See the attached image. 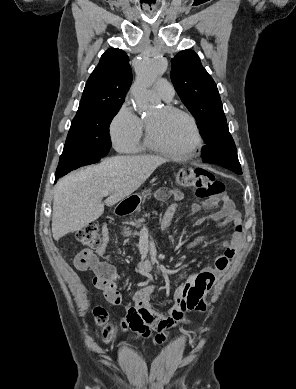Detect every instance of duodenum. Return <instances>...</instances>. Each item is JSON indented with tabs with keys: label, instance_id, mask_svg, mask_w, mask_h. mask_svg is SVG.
Masks as SVG:
<instances>
[{
	"label": "duodenum",
	"instance_id": "obj_1",
	"mask_svg": "<svg viewBox=\"0 0 296 389\" xmlns=\"http://www.w3.org/2000/svg\"><path fill=\"white\" fill-rule=\"evenodd\" d=\"M136 206L137 202L135 201H125L118 207L117 212L120 215L129 214L135 210ZM153 264L154 260L147 258L138 262L137 267L140 272L146 273L152 269Z\"/></svg>",
	"mask_w": 296,
	"mask_h": 389
}]
</instances>
